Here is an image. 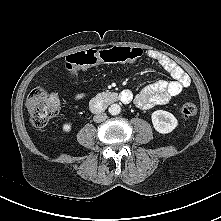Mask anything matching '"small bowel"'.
<instances>
[{
	"instance_id": "small-bowel-1",
	"label": "small bowel",
	"mask_w": 221,
	"mask_h": 221,
	"mask_svg": "<svg viewBox=\"0 0 221 221\" xmlns=\"http://www.w3.org/2000/svg\"><path fill=\"white\" fill-rule=\"evenodd\" d=\"M147 55L151 60L156 61L167 71L172 77V80L155 82L145 87L135 97L132 96L130 91H124L123 94H129L131 100L133 99L134 104L140 109H149L156 105L165 104L191 84L190 77L169 57L158 52H149ZM139 65V63H133L131 67L135 68ZM74 98L80 101L86 99L87 95L77 93Z\"/></svg>"
}]
</instances>
